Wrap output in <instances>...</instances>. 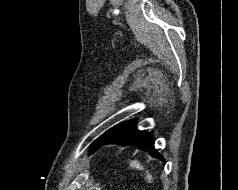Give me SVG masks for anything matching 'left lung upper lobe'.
Wrapping results in <instances>:
<instances>
[{
	"mask_svg": "<svg viewBox=\"0 0 238 190\" xmlns=\"http://www.w3.org/2000/svg\"><path fill=\"white\" fill-rule=\"evenodd\" d=\"M110 130H108L106 133H104L102 136H100L97 140H95V142L93 143V145L91 146L90 152L92 153L94 150H96L98 147L101 146L102 141L104 140L106 134L109 132Z\"/></svg>",
	"mask_w": 238,
	"mask_h": 190,
	"instance_id": "obj_1",
	"label": "left lung upper lobe"
}]
</instances>
